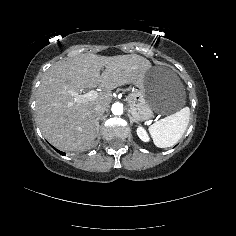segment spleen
Wrapping results in <instances>:
<instances>
[{"label":"spleen","mask_w":236,"mask_h":236,"mask_svg":"<svg viewBox=\"0 0 236 236\" xmlns=\"http://www.w3.org/2000/svg\"><path fill=\"white\" fill-rule=\"evenodd\" d=\"M190 116V108L184 107L175 114L153 124L150 131L154 137L156 146L166 148L176 144L185 133Z\"/></svg>","instance_id":"spleen-1"}]
</instances>
